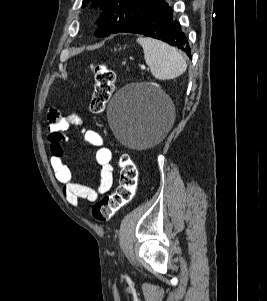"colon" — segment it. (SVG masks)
I'll return each mask as SVG.
<instances>
[{"label":"colon","mask_w":267,"mask_h":301,"mask_svg":"<svg viewBox=\"0 0 267 301\" xmlns=\"http://www.w3.org/2000/svg\"><path fill=\"white\" fill-rule=\"evenodd\" d=\"M93 71L95 86L90 109L92 113L99 115L105 110L114 91L115 73L104 63L95 65ZM119 168L120 178L116 190L100 199L92 208V216L98 222L109 221L135 195L138 181V170L135 163L129 156L123 155L119 159Z\"/></svg>","instance_id":"1"}]
</instances>
